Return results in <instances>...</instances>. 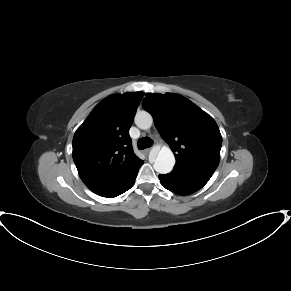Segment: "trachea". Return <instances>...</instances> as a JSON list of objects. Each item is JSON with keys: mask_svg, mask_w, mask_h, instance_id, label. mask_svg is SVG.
<instances>
[{"mask_svg": "<svg viewBox=\"0 0 291 291\" xmlns=\"http://www.w3.org/2000/svg\"><path fill=\"white\" fill-rule=\"evenodd\" d=\"M152 144H153V140L149 137L140 138L137 141V146L139 150L149 148L150 146H152Z\"/></svg>", "mask_w": 291, "mask_h": 291, "instance_id": "3493384b", "label": "trachea"}]
</instances>
